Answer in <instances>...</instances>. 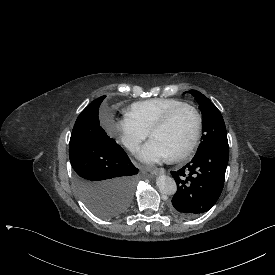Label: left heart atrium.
<instances>
[{
	"instance_id": "left-heart-atrium-1",
	"label": "left heart atrium",
	"mask_w": 275,
	"mask_h": 275,
	"mask_svg": "<svg viewBox=\"0 0 275 275\" xmlns=\"http://www.w3.org/2000/svg\"><path fill=\"white\" fill-rule=\"evenodd\" d=\"M139 157L146 163H157L170 158V155L157 141L151 139L144 146Z\"/></svg>"
}]
</instances>
